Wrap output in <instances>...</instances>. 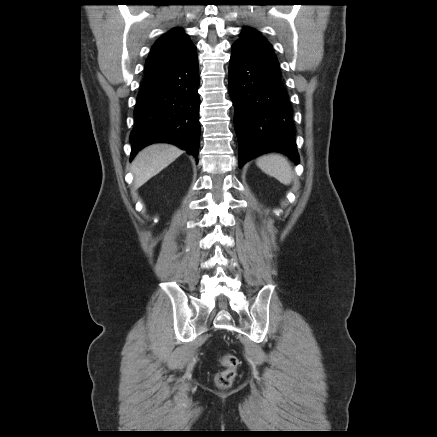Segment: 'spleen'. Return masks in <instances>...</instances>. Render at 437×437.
I'll list each match as a JSON object with an SVG mask.
<instances>
[{
	"label": "spleen",
	"mask_w": 437,
	"mask_h": 437,
	"mask_svg": "<svg viewBox=\"0 0 437 437\" xmlns=\"http://www.w3.org/2000/svg\"><path fill=\"white\" fill-rule=\"evenodd\" d=\"M257 166L266 174L276 178L280 183L289 185L293 172L287 158L280 154H267L257 159Z\"/></svg>",
	"instance_id": "3e777b00"
}]
</instances>
